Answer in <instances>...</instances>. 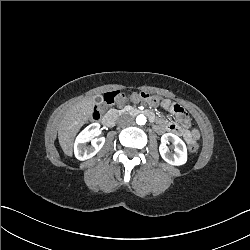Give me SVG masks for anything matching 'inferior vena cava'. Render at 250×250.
Returning <instances> with one entry per match:
<instances>
[{
  "label": "inferior vena cava",
  "instance_id": "602c4592",
  "mask_svg": "<svg viewBox=\"0 0 250 250\" xmlns=\"http://www.w3.org/2000/svg\"><path fill=\"white\" fill-rule=\"evenodd\" d=\"M133 122V117L129 114H122L121 116L118 117L116 123L121 126H127L130 125Z\"/></svg>",
  "mask_w": 250,
  "mask_h": 250
}]
</instances>
